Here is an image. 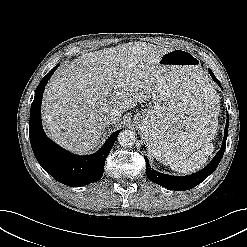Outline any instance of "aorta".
<instances>
[{
	"label": "aorta",
	"mask_w": 247,
	"mask_h": 247,
	"mask_svg": "<svg viewBox=\"0 0 247 247\" xmlns=\"http://www.w3.org/2000/svg\"><path fill=\"white\" fill-rule=\"evenodd\" d=\"M135 134L131 130H123L118 135V142L123 147H129L135 143Z\"/></svg>",
	"instance_id": "obj_1"
}]
</instances>
